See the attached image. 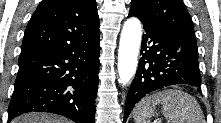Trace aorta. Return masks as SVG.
Listing matches in <instances>:
<instances>
[{
    "label": "aorta",
    "instance_id": "762f6f07",
    "mask_svg": "<svg viewBox=\"0 0 221 123\" xmlns=\"http://www.w3.org/2000/svg\"><path fill=\"white\" fill-rule=\"evenodd\" d=\"M142 29L137 18L125 21L120 36L118 52L119 82L124 86L134 76L141 44Z\"/></svg>",
    "mask_w": 221,
    "mask_h": 123
}]
</instances>
